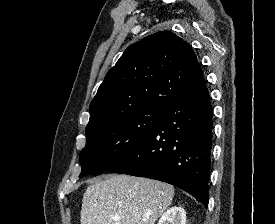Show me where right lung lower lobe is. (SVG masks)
Returning <instances> with one entry per match:
<instances>
[{
  "label": "right lung lower lobe",
  "mask_w": 275,
  "mask_h": 224,
  "mask_svg": "<svg viewBox=\"0 0 275 224\" xmlns=\"http://www.w3.org/2000/svg\"><path fill=\"white\" fill-rule=\"evenodd\" d=\"M212 106L202 77L165 110L138 146L107 171L163 181L208 206Z\"/></svg>",
  "instance_id": "obj_1"
}]
</instances>
